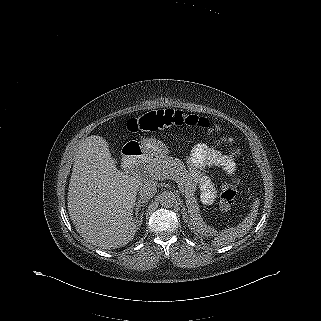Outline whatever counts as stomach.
Instances as JSON below:
<instances>
[{
	"label": "stomach",
	"mask_w": 321,
	"mask_h": 321,
	"mask_svg": "<svg viewBox=\"0 0 321 321\" xmlns=\"http://www.w3.org/2000/svg\"><path fill=\"white\" fill-rule=\"evenodd\" d=\"M142 152L149 156H161L167 153V148L165 145L156 139L145 138L138 142Z\"/></svg>",
	"instance_id": "0dacf381"
}]
</instances>
